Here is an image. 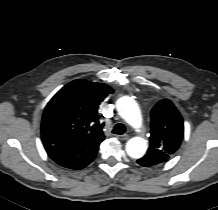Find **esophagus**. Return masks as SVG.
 I'll list each match as a JSON object with an SVG mask.
<instances>
[{
  "mask_svg": "<svg viewBox=\"0 0 218 210\" xmlns=\"http://www.w3.org/2000/svg\"><path fill=\"white\" fill-rule=\"evenodd\" d=\"M116 137L120 140H128L129 139V135H127V134L117 135Z\"/></svg>",
  "mask_w": 218,
  "mask_h": 210,
  "instance_id": "34e87169",
  "label": "esophagus"
}]
</instances>
